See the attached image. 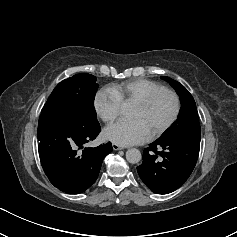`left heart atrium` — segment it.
Instances as JSON below:
<instances>
[{"label":"left heart atrium","instance_id":"39dd6f15","mask_svg":"<svg viewBox=\"0 0 237 237\" xmlns=\"http://www.w3.org/2000/svg\"><path fill=\"white\" fill-rule=\"evenodd\" d=\"M104 137L121 146L140 144L147 141L150 134L139 120L117 122L104 130Z\"/></svg>","mask_w":237,"mask_h":237}]
</instances>
